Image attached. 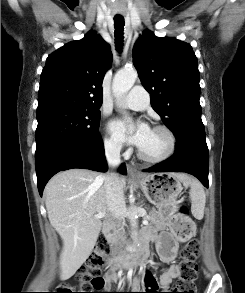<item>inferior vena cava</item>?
<instances>
[{
  "label": "inferior vena cava",
  "mask_w": 245,
  "mask_h": 293,
  "mask_svg": "<svg viewBox=\"0 0 245 293\" xmlns=\"http://www.w3.org/2000/svg\"><path fill=\"white\" fill-rule=\"evenodd\" d=\"M105 156L110 168L104 181L107 205L113 216L119 218L125 209L123 190L115 171L120 165V147L114 144L105 146Z\"/></svg>",
  "instance_id": "602c4592"
}]
</instances>
